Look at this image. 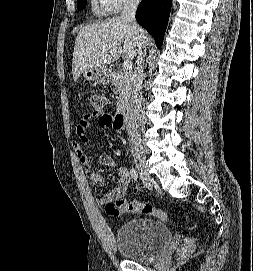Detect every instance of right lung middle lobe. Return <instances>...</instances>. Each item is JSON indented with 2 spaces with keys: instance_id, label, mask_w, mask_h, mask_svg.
I'll list each match as a JSON object with an SVG mask.
<instances>
[{
  "instance_id": "1",
  "label": "right lung middle lobe",
  "mask_w": 253,
  "mask_h": 271,
  "mask_svg": "<svg viewBox=\"0 0 253 271\" xmlns=\"http://www.w3.org/2000/svg\"><path fill=\"white\" fill-rule=\"evenodd\" d=\"M78 1V9H83L86 6L85 0H77Z\"/></svg>"
}]
</instances>
